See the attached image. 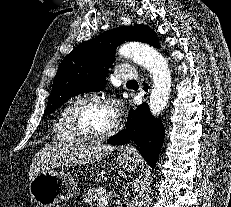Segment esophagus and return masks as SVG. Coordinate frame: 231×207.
Instances as JSON below:
<instances>
[{
	"mask_svg": "<svg viewBox=\"0 0 231 207\" xmlns=\"http://www.w3.org/2000/svg\"><path fill=\"white\" fill-rule=\"evenodd\" d=\"M122 149H123L124 152H129V153L135 151L134 147H133V146H130V145H126V146H124Z\"/></svg>",
	"mask_w": 231,
	"mask_h": 207,
	"instance_id": "1",
	"label": "esophagus"
}]
</instances>
